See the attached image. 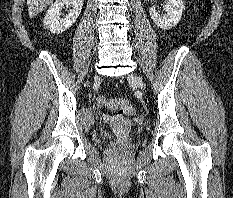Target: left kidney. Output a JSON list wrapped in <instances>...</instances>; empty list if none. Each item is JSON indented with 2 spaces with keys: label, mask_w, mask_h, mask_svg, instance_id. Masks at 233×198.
I'll return each mask as SVG.
<instances>
[{
  "label": "left kidney",
  "mask_w": 233,
  "mask_h": 198,
  "mask_svg": "<svg viewBox=\"0 0 233 198\" xmlns=\"http://www.w3.org/2000/svg\"><path fill=\"white\" fill-rule=\"evenodd\" d=\"M164 9L167 14H160L155 7H151L149 14L158 27L169 30L179 23L184 9V0H167Z\"/></svg>",
  "instance_id": "1"
}]
</instances>
